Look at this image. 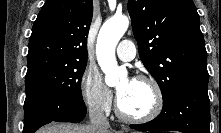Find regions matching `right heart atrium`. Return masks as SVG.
Returning <instances> with one entry per match:
<instances>
[{"label":"right heart atrium","mask_w":221,"mask_h":133,"mask_svg":"<svg viewBox=\"0 0 221 133\" xmlns=\"http://www.w3.org/2000/svg\"><path fill=\"white\" fill-rule=\"evenodd\" d=\"M81 97L89 110L98 114L110 111L113 98L104 84L101 74L94 68H86L80 80Z\"/></svg>","instance_id":"1"}]
</instances>
